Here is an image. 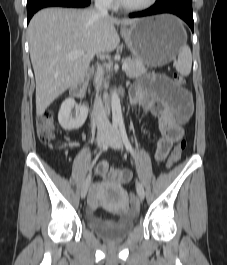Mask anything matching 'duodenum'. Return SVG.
<instances>
[{
	"label": "duodenum",
	"instance_id": "410a0bca",
	"mask_svg": "<svg viewBox=\"0 0 227 265\" xmlns=\"http://www.w3.org/2000/svg\"><path fill=\"white\" fill-rule=\"evenodd\" d=\"M87 77H81L71 86V94L77 98H84L86 95Z\"/></svg>",
	"mask_w": 227,
	"mask_h": 265
}]
</instances>
